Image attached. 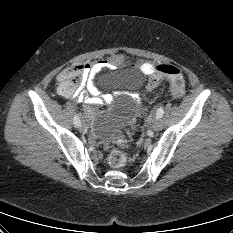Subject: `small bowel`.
<instances>
[{"instance_id": "obj_1", "label": "small bowel", "mask_w": 233, "mask_h": 233, "mask_svg": "<svg viewBox=\"0 0 233 233\" xmlns=\"http://www.w3.org/2000/svg\"><path fill=\"white\" fill-rule=\"evenodd\" d=\"M121 62L122 58L115 56L107 60L92 61L82 65V77L79 87L70 94H64L59 90L60 94L66 98H72L78 103H84V113L87 117H90L93 113V105L109 103L112 100L110 95H101L95 87V74L102 69L115 68ZM138 67L148 76H152L156 72L155 65L148 61H141Z\"/></svg>"}]
</instances>
